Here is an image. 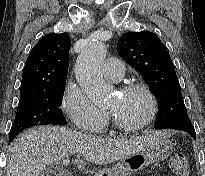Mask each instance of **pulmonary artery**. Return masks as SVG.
<instances>
[{
  "label": "pulmonary artery",
  "mask_w": 205,
  "mask_h": 176,
  "mask_svg": "<svg viewBox=\"0 0 205 176\" xmlns=\"http://www.w3.org/2000/svg\"><path fill=\"white\" fill-rule=\"evenodd\" d=\"M125 67L122 61L116 58H108L103 65V74L112 82L120 81L124 77Z\"/></svg>",
  "instance_id": "1"
}]
</instances>
